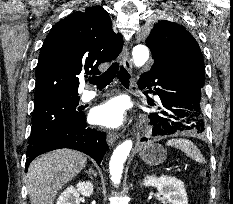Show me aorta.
Wrapping results in <instances>:
<instances>
[{"mask_svg": "<svg viewBox=\"0 0 233 204\" xmlns=\"http://www.w3.org/2000/svg\"><path fill=\"white\" fill-rule=\"evenodd\" d=\"M133 62L137 67L143 66L149 58V50L145 45L139 44L133 48L132 51ZM133 142L131 140H126L122 144L116 147L114 150L110 163L109 170L111 175V180L114 185H118L121 181L123 164L126 161L131 149Z\"/></svg>", "mask_w": 233, "mask_h": 204, "instance_id": "1", "label": "aorta"}]
</instances>
